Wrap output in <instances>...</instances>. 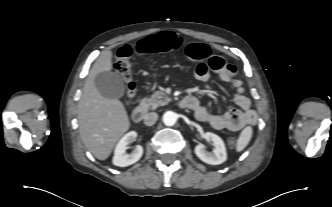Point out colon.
I'll return each instance as SVG.
<instances>
[{"instance_id": "5ec220e1", "label": "colon", "mask_w": 332, "mask_h": 207, "mask_svg": "<svg viewBox=\"0 0 332 207\" xmlns=\"http://www.w3.org/2000/svg\"><path fill=\"white\" fill-rule=\"evenodd\" d=\"M182 45L183 40L181 37L172 33H163L149 36L139 41L136 50L139 53L167 52L178 49ZM132 52L131 46L124 44L114 54L115 67L125 82L127 95L129 97H132L135 93L131 63ZM184 54L192 61H201L214 57L206 44L195 42L186 43L184 45ZM229 143L233 144V141L230 140Z\"/></svg>"}]
</instances>
